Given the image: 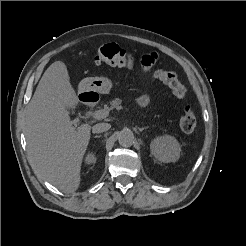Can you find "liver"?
Segmentation results:
<instances>
[{"instance_id":"1","label":"liver","mask_w":246,"mask_h":246,"mask_svg":"<svg viewBox=\"0 0 246 246\" xmlns=\"http://www.w3.org/2000/svg\"><path fill=\"white\" fill-rule=\"evenodd\" d=\"M79 102L62 61L44 72L28 105L25 137L33 169L59 190L72 193L79 188L83 156L91 126L74 127L68 108Z\"/></svg>"}]
</instances>
